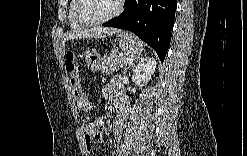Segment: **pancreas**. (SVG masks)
I'll use <instances>...</instances> for the list:
<instances>
[{
	"label": "pancreas",
	"mask_w": 247,
	"mask_h": 156,
	"mask_svg": "<svg viewBox=\"0 0 247 156\" xmlns=\"http://www.w3.org/2000/svg\"><path fill=\"white\" fill-rule=\"evenodd\" d=\"M131 59L132 57L125 53L113 52L104 60L101 72L103 75H110L119 68L126 66Z\"/></svg>",
	"instance_id": "obj_1"
}]
</instances>
